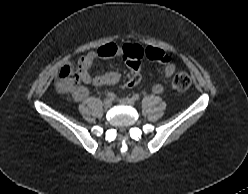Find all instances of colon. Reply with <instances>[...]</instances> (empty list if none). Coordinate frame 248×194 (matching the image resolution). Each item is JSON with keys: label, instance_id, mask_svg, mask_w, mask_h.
<instances>
[{"label": "colon", "instance_id": "colon-1", "mask_svg": "<svg viewBox=\"0 0 248 194\" xmlns=\"http://www.w3.org/2000/svg\"><path fill=\"white\" fill-rule=\"evenodd\" d=\"M156 60L162 64H170L173 62V58L170 54L160 50L155 54ZM133 82L140 81V67L138 66L133 71ZM79 82V74L75 66L71 63L65 64L59 71L58 78L56 80V88L61 92L73 91ZM191 77L184 71H179L175 74L172 80V87L179 92L186 91L191 85ZM126 85V84H125Z\"/></svg>", "mask_w": 248, "mask_h": 194}]
</instances>
